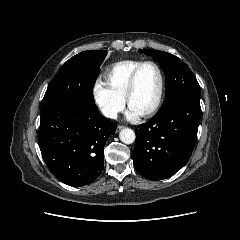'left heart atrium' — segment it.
<instances>
[{
    "label": "left heart atrium",
    "mask_w": 240,
    "mask_h": 240,
    "mask_svg": "<svg viewBox=\"0 0 240 240\" xmlns=\"http://www.w3.org/2000/svg\"><path fill=\"white\" fill-rule=\"evenodd\" d=\"M126 116L128 119L130 120H135L140 116V113H138L135 109H133L132 107H129Z\"/></svg>",
    "instance_id": "1"
}]
</instances>
